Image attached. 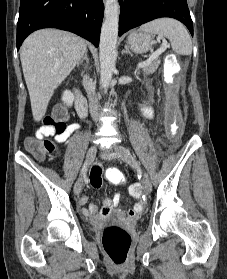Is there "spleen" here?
I'll return each instance as SVG.
<instances>
[{
	"mask_svg": "<svg viewBox=\"0 0 227 279\" xmlns=\"http://www.w3.org/2000/svg\"><path fill=\"white\" fill-rule=\"evenodd\" d=\"M139 30L168 38L172 49L177 54L190 55L192 53V42L188 31L180 22L174 19H156L142 25Z\"/></svg>",
	"mask_w": 227,
	"mask_h": 279,
	"instance_id": "3e777b00",
	"label": "spleen"
}]
</instances>
